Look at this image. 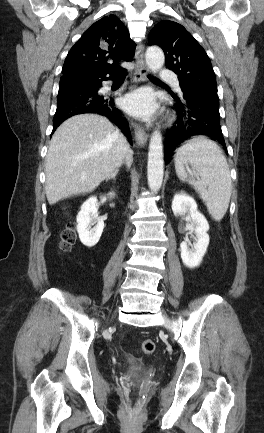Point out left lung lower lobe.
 Listing matches in <instances>:
<instances>
[{"instance_id":"0a47b994","label":"left lung lower lobe","mask_w":264,"mask_h":433,"mask_svg":"<svg viewBox=\"0 0 264 433\" xmlns=\"http://www.w3.org/2000/svg\"><path fill=\"white\" fill-rule=\"evenodd\" d=\"M177 102V126L169 130L165 139V163L169 162L175 148L192 136H207L222 144L225 140L220 126L219 98L206 89H182L180 95L171 93Z\"/></svg>"}]
</instances>
